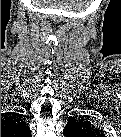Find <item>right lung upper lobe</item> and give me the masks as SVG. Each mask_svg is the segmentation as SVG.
Masks as SVG:
<instances>
[{"mask_svg": "<svg viewBox=\"0 0 121 137\" xmlns=\"http://www.w3.org/2000/svg\"><path fill=\"white\" fill-rule=\"evenodd\" d=\"M29 128L24 122L22 116L11 113L1 120V134L3 133H28Z\"/></svg>", "mask_w": 121, "mask_h": 137, "instance_id": "1", "label": "right lung upper lobe"}]
</instances>
